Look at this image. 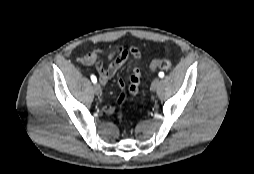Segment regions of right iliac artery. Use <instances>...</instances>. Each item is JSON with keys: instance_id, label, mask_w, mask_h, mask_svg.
Segmentation results:
<instances>
[{"instance_id": "1", "label": "right iliac artery", "mask_w": 254, "mask_h": 174, "mask_svg": "<svg viewBox=\"0 0 254 174\" xmlns=\"http://www.w3.org/2000/svg\"><path fill=\"white\" fill-rule=\"evenodd\" d=\"M91 80H92V82H93V83H96V82H97V78H96V76L91 75Z\"/></svg>"}]
</instances>
